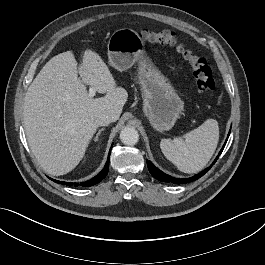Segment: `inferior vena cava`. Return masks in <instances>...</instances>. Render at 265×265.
Masks as SVG:
<instances>
[{
	"instance_id": "obj_1",
	"label": "inferior vena cava",
	"mask_w": 265,
	"mask_h": 265,
	"mask_svg": "<svg viewBox=\"0 0 265 265\" xmlns=\"http://www.w3.org/2000/svg\"><path fill=\"white\" fill-rule=\"evenodd\" d=\"M113 121L114 117L107 112H103L95 117V123L98 126H107Z\"/></svg>"
}]
</instances>
